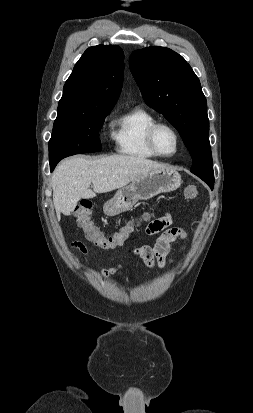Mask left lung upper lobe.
Here are the masks:
<instances>
[{"mask_svg": "<svg viewBox=\"0 0 253 413\" xmlns=\"http://www.w3.org/2000/svg\"><path fill=\"white\" fill-rule=\"evenodd\" d=\"M129 65L145 102L180 133L193 159L190 171L200 178H214L207 102L190 65L173 50L159 46L134 51Z\"/></svg>", "mask_w": 253, "mask_h": 413, "instance_id": "5c2ea615", "label": "left lung upper lobe"}]
</instances>
